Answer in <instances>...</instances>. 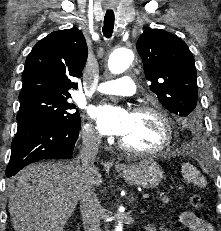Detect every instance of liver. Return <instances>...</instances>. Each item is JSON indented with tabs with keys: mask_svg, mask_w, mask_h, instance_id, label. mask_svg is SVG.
<instances>
[{
	"mask_svg": "<svg viewBox=\"0 0 221 231\" xmlns=\"http://www.w3.org/2000/svg\"><path fill=\"white\" fill-rule=\"evenodd\" d=\"M94 186L102 177L96 168ZM15 231H63L80 200V174L74 162H41L23 168L7 183Z\"/></svg>",
	"mask_w": 221,
	"mask_h": 231,
	"instance_id": "obj_1",
	"label": "liver"
}]
</instances>
